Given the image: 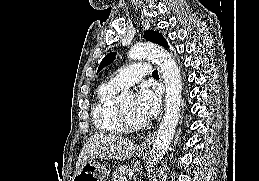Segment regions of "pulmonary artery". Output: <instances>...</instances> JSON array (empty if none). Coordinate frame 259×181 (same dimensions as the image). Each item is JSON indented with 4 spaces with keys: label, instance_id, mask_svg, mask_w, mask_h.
<instances>
[{
    "label": "pulmonary artery",
    "instance_id": "e3ab8cb5",
    "mask_svg": "<svg viewBox=\"0 0 259 181\" xmlns=\"http://www.w3.org/2000/svg\"><path fill=\"white\" fill-rule=\"evenodd\" d=\"M151 74L152 70L150 65L146 62L139 61L120 71L110 80V83L119 89H125L139 82L142 77Z\"/></svg>",
    "mask_w": 259,
    "mask_h": 181
}]
</instances>
